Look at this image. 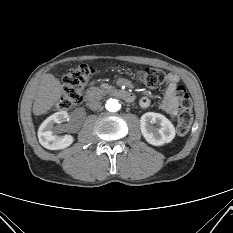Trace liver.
Instances as JSON below:
<instances>
[{"label": "liver", "mask_w": 233, "mask_h": 233, "mask_svg": "<svg viewBox=\"0 0 233 233\" xmlns=\"http://www.w3.org/2000/svg\"><path fill=\"white\" fill-rule=\"evenodd\" d=\"M63 92L61 82L52 74H43L33 104L34 115L49 111L60 99Z\"/></svg>", "instance_id": "1"}]
</instances>
